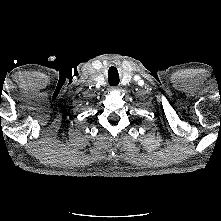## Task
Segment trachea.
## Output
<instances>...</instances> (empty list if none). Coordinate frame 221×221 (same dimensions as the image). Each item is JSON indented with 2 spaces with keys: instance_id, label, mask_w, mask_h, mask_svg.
I'll use <instances>...</instances> for the list:
<instances>
[{
  "instance_id": "trachea-1",
  "label": "trachea",
  "mask_w": 221,
  "mask_h": 221,
  "mask_svg": "<svg viewBox=\"0 0 221 221\" xmlns=\"http://www.w3.org/2000/svg\"><path fill=\"white\" fill-rule=\"evenodd\" d=\"M116 70V75H111V72H110V69H109V74H108V79H109V83L111 85H117L119 83V75H118V72H117V69L115 68Z\"/></svg>"
}]
</instances>
